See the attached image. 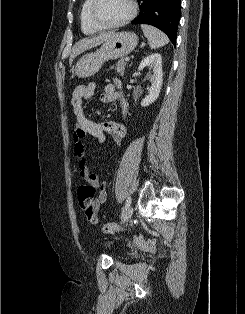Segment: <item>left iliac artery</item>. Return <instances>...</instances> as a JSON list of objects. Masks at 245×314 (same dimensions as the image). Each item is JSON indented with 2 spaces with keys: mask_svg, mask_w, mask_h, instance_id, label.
I'll return each instance as SVG.
<instances>
[{
  "mask_svg": "<svg viewBox=\"0 0 245 314\" xmlns=\"http://www.w3.org/2000/svg\"><path fill=\"white\" fill-rule=\"evenodd\" d=\"M130 202H131V199L130 197L128 198L127 202H126V205L124 207V211L127 209V207L130 205Z\"/></svg>",
  "mask_w": 245,
  "mask_h": 314,
  "instance_id": "44dca946",
  "label": "left iliac artery"
}]
</instances>
